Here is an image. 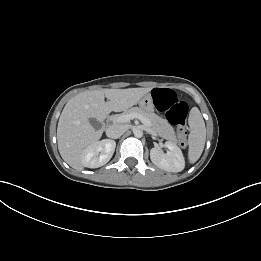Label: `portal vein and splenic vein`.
<instances>
[{
  "instance_id": "1",
  "label": "portal vein and splenic vein",
  "mask_w": 261,
  "mask_h": 261,
  "mask_svg": "<svg viewBox=\"0 0 261 261\" xmlns=\"http://www.w3.org/2000/svg\"><path fill=\"white\" fill-rule=\"evenodd\" d=\"M134 118L139 119L144 125H146L148 127L151 125V122L148 119H146L145 117H143L142 115L137 114V113L120 115L117 118V122L124 123V122H128Z\"/></svg>"
}]
</instances>
